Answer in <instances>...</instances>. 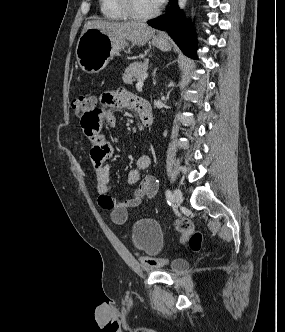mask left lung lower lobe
<instances>
[{
	"label": "left lung lower lobe",
	"instance_id": "obj_1",
	"mask_svg": "<svg viewBox=\"0 0 285 332\" xmlns=\"http://www.w3.org/2000/svg\"><path fill=\"white\" fill-rule=\"evenodd\" d=\"M148 24L159 30L166 29L184 54L196 58V39L192 33L191 26L184 20L183 14L177 6V0L171 1V6L166 15L150 20Z\"/></svg>",
	"mask_w": 285,
	"mask_h": 332
}]
</instances>
